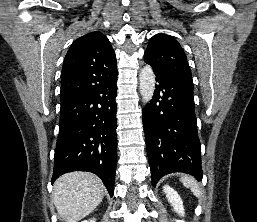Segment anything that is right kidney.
<instances>
[{
	"instance_id": "ca27d5eb",
	"label": "right kidney",
	"mask_w": 257,
	"mask_h": 222,
	"mask_svg": "<svg viewBox=\"0 0 257 222\" xmlns=\"http://www.w3.org/2000/svg\"><path fill=\"white\" fill-rule=\"evenodd\" d=\"M82 222H95V219H91V220H84Z\"/></svg>"
}]
</instances>
